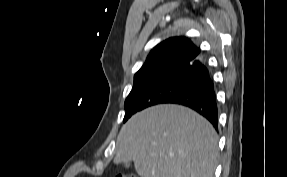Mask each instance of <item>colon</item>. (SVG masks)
I'll list each match as a JSON object with an SVG mask.
<instances>
[{"mask_svg":"<svg viewBox=\"0 0 287 177\" xmlns=\"http://www.w3.org/2000/svg\"><path fill=\"white\" fill-rule=\"evenodd\" d=\"M116 177H136V176L132 174H118Z\"/></svg>","mask_w":287,"mask_h":177,"instance_id":"5ec220e1","label":"colon"}]
</instances>
